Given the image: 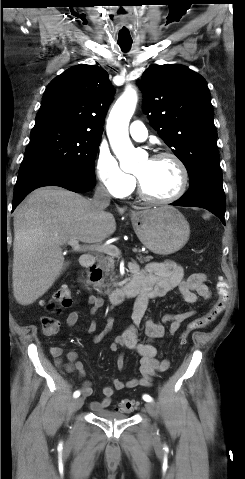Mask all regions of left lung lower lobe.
Here are the masks:
<instances>
[{
    "label": "left lung lower lobe",
    "mask_w": 245,
    "mask_h": 479,
    "mask_svg": "<svg viewBox=\"0 0 245 479\" xmlns=\"http://www.w3.org/2000/svg\"><path fill=\"white\" fill-rule=\"evenodd\" d=\"M171 205L207 209L215 214L225 225L226 203L221 170H211L197 177L190 184L188 192Z\"/></svg>",
    "instance_id": "left-lung-lower-lobe-1"
}]
</instances>
